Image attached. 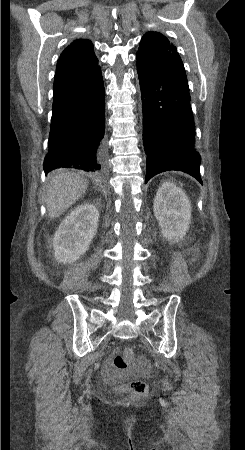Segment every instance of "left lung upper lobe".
<instances>
[{"label": "left lung upper lobe", "instance_id": "left-lung-upper-lobe-1", "mask_svg": "<svg viewBox=\"0 0 245 450\" xmlns=\"http://www.w3.org/2000/svg\"><path fill=\"white\" fill-rule=\"evenodd\" d=\"M137 63L151 68L164 67L174 74L187 88L186 72L176 47L158 32L143 35L137 52Z\"/></svg>", "mask_w": 245, "mask_h": 450}]
</instances>
